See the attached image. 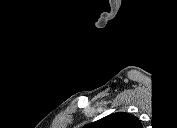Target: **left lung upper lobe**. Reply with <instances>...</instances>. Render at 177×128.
<instances>
[{"label":"left lung upper lobe","mask_w":177,"mask_h":128,"mask_svg":"<svg viewBox=\"0 0 177 128\" xmlns=\"http://www.w3.org/2000/svg\"><path fill=\"white\" fill-rule=\"evenodd\" d=\"M100 128H141L142 125L137 117L125 113L117 112L108 115L98 122H96Z\"/></svg>","instance_id":"1"}]
</instances>
